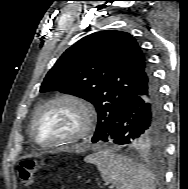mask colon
<instances>
[{
	"instance_id": "1",
	"label": "colon",
	"mask_w": 188,
	"mask_h": 189,
	"mask_svg": "<svg viewBox=\"0 0 188 189\" xmlns=\"http://www.w3.org/2000/svg\"><path fill=\"white\" fill-rule=\"evenodd\" d=\"M45 163H39L31 159L22 160L18 167L19 180L24 186H30L34 181V176L43 170Z\"/></svg>"
}]
</instances>
